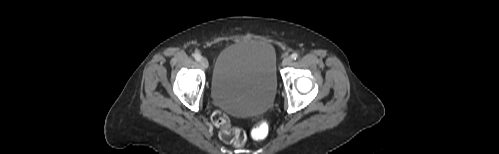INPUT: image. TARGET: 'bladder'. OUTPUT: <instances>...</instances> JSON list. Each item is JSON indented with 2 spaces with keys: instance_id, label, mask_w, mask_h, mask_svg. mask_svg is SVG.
I'll list each match as a JSON object with an SVG mask.
<instances>
[{
  "instance_id": "31cf9c89",
  "label": "bladder",
  "mask_w": 499,
  "mask_h": 154,
  "mask_svg": "<svg viewBox=\"0 0 499 154\" xmlns=\"http://www.w3.org/2000/svg\"><path fill=\"white\" fill-rule=\"evenodd\" d=\"M276 89V53L270 43L239 41L219 53L210 95L220 108L236 116L263 113L273 104Z\"/></svg>"
}]
</instances>
